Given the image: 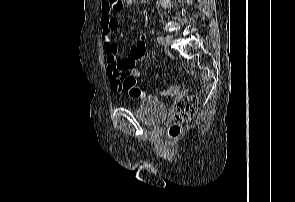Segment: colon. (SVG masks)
<instances>
[{
	"mask_svg": "<svg viewBox=\"0 0 295 202\" xmlns=\"http://www.w3.org/2000/svg\"><path fill=\"white\" fill-rule=\"evenodd\" d=\"M116 8L122 7L125 3H129L130 0H111ZM121 90L127 92L132 97H141L145 93L138 87L136 78L130 72H125L121 76ZM181 91L180 86L174 85L161 92L162 96L176 95ZM198 108V98L196 96H187L181 99L175 109L176 122L173 123L169 130L168 135L171 138H177L182 133V123L192 119Z\"/></svg>",
	"mask_w": 295,
	"mask_h": 202,
	"instance_id": "1",
	"label": "colon"
}]
</instances>
